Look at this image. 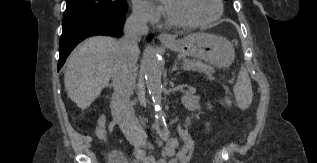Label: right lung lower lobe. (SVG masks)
Here are the masks:
<instances>
[{
    "mask_svg": "<svg viewBox=\"0 0 317 163\" xmlns=\"http://www.w3.org/2000/svg\"><path fill=\"white\" fill-rule=\"evenodd\" d=\"M124 21L125 15L103 14L63 28L59 41L58 71L64 65L71 51L85 38L93 35L120 37ZM149 39H151V36Z\"/></svg>",
    "mask_w": 317,
    "mask_h": 163,
    "instance_id": "right-lung-lower-lobe-1",
    "label": "right lung lower lobe"
}]
</instances>
